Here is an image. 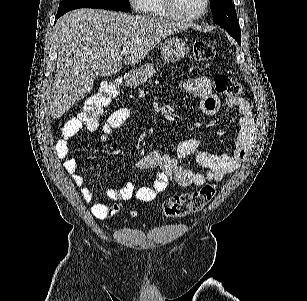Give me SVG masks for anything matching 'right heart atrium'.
<instances>
[{"label":"right heart atrium","instance_id":"obj_1","mask_svg":"<svg viewBox=\"0 0 307 301\" xmlns=\"http://www.w3.org/2000/svg\"><path fill=\"white\" fill-rule=\"evenodd\" d=\"M131 4H135L136 11H151V4L147 0H130Z\"/></svg>","mask_w":307,"mask_h":301}]
</instances>
